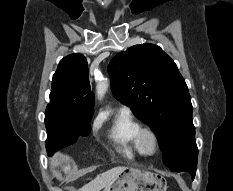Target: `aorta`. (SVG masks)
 <instances>
[{"label": "aorta", "instance_id": "aorta-1", "mask_svg": "<svg viewBox=\"0 0 233 191\" xmlns=\"http://www.w3.org/2000/svg\"><path fill=\"white\" fill-rule=\"evenodd\" d=\"M109 83L106 80H101L97 84L96 90H97V97L98 99H102L108 89Z\"/></svg>", "mask_w": 233, "mask_h": 191}]
</instances>
